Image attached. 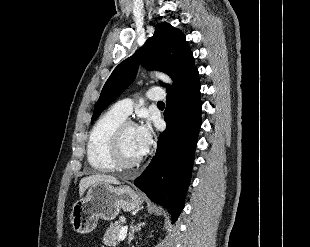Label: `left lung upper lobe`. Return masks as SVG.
I'll return each mask as SVG.
<instances>
[{
	"label": "left lung upper lobe",
	"instance_id": "5c2ea615",
	"mask_svg": "<svg viewBox=\"0 0 310 247\" xmlns=\"http://www.w3.org/2000/svg\"><path fill=\"white\" fill-rule=\"evenodd\" d=\"M140 63L149 70L163 71L173 79L174 86H167L166 91L175 88L196 69L185 35L169 23H158L154 35L143 47L113 70L95 105L91 123L134 81Z\"/></svg>",
	"mask_w": 310,
	"mask_h": 247
}]
</instances>
